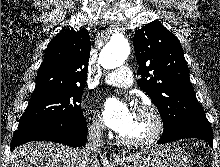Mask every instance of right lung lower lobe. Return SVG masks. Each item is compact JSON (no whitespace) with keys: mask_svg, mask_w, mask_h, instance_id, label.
<instances>
[{"mask_svg":"<svg viewBox=\"0 0 220 167\" xmlns=\"http://www.w3.org/2000/svg\"><path fill=\"white\" fill-rule=\"evenodd\" d=\"M87 138V123L85 118L75 124H46L36 127L18 129L11 141V149L31 140H46L59 142L72 147L85 145Z\"/></svg>","mask_w":220,"mask_h":167,"instance_id":"right-lung-lower-lobe-1","label":"right lung lower lobe"}]
</instances>
